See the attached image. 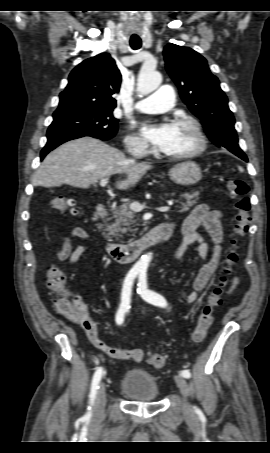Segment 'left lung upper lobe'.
<instances>
[{
    "label": "left lung upper lobe",
    "mask_w": 270,
    "mask_h": 453,
    "mask_svg": "<svg viewBox=\"0 0 270 453\" xmlns=\"http://www.w3.org/2000/svg\"><path fill=\"white\" fill-rule=\"evenodd\" d=\"M163 54L167 72L178 86L181 98L201 119L210 140L232 153L242 152L228 99L206 59L189 47L172 43L165 46Z\"/></svg>",
    "instance_id": "left-lung-upper-lobe-1"
}]
</instances>
